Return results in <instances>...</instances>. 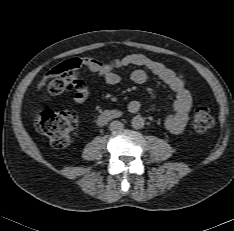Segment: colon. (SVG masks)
<instances>
[{
    "label": "colon",
    "mask_w": 234,
    "mask_h": 231,
    "mask_svg": "<svg viewBox=\"0 0 234 231\" xmlns=\"http://www.w3.org/2000/svg\"><path fill=\"white\" fill-rule=\"evenodd\" d=\"M80 62L70 60L60 65L56 77L49 84V91L53 95L69 92L77 80ZM78 116L71 110H43L34 119L36 131L49 139L55 148H63L70 142L72 130L76 127ZM214 125V119L205 107L196 109L193 127L199 133H204Z\"/></svg>",
    "instance_id": "5ec220e1"
}]
</instances>
